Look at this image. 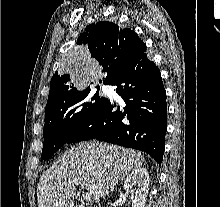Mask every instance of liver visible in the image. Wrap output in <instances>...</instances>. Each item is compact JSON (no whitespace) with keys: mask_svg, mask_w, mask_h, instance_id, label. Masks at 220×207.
<instances>
[{"mask_svg":"<svg viewBox=\"0 0 220 207\" xmlns=\"http://www.w3.org/2000/svg\"><path fill=\"white\" fill-rule=\"evenodd\" d=\"M144 162L135 150L90 141L66 151L42 176L37 187L38 207H73L77 180L95 199L105 198L119 180Z\"/></svg>","mask_w":220,"mask_h":207,"instance_id":"6515ba94","label":"liver"}]
</instances>
